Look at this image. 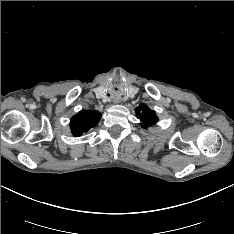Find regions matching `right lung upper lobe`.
<instances>
[{"label":"right lung upper lobe","mask_w":234,"mask_h":234,"mask_svg":"<svg viewBox=\"0 0 234 234\" xmlns=\"http://www.w3.org/2000/svg\"><path fill=\"white\" fill-rule=\"evenodd\" d=\"M101 114L91 110H82L72 117L70 127L74 136H80L89 131L99 122Z\"/></svg>","instance_id":"right-lung-upper-lobe-1"}]
</instances>
